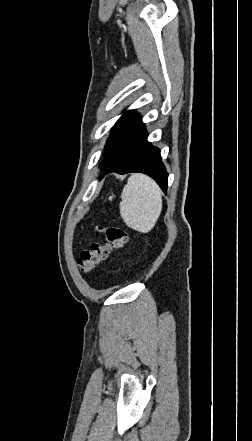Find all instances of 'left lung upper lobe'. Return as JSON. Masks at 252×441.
Instances as JSON below:
<instances>
[{"label":"left lung upper lobe","instance_id":"5c2ea615","mask_svg":"<svg viewBox=\"0 0 252 441\" xmlns=\"http://www.w3.org/2000/svg\"><path fill=\"white\" fill-rule=\"evenodd\" d=\"M138 117L139 116L134 113V110H132L123 114L122 117L116 122L112 128L111 136L108 138L105 145V156L102 162V168L109 165L114 159L121 144L123 143L126 134Z\"/></svg>","mask_w":252,"mask_h":441}]
</instances>
